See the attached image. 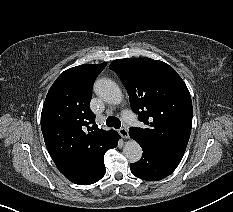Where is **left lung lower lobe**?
<instances>
[{"label":"left lung lower lobe","instance_id":"1","mask_svg":"<svg viewBox=\"0 0 233 212\" xmlns=\"http://www.w3.org/2000/svg\"><path fill=\"white\" fill-rule=\"evenodd\" d=\"M136 140V139H134ZM142 147V158L130 165L131 172L138 178L156 181L170 175L179 165L182 155L170 153L145 142L136 140Z\"/></svg>","mask_w":233,"mask_h":212}]
</instances>
